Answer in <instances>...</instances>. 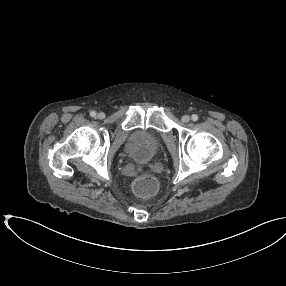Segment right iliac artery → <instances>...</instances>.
<instances>
[{
	"label": "right iliac artery",
	"instance_id": "right-iliac-artery-1",
	"mask_svg": "<svg viewBox=\"0 0 286 286\" xmlns=\"http://www.w3.org/2000/svg\"><path fill=\"white\" fill-rule=\"evenodd\" d=\"M90 116H91V117H95V116H96V112H95V111H91V112H90Z\"/></svg>",
	"mask_w": 286,
	"mask_h": 286
}]
</instances>
